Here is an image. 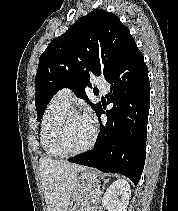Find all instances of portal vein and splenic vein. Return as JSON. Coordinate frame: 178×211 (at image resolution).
<instances>
[{
  "label": "portal vein and splenic vein",
  "mask_w": 178,
  "mask_h": 211,
  "mask_svg": "<svg viewBox=\"0 0 178 211\" xmlns=\"http://www.w3.org/2000/svg\"><path fill=\"white\" fill-rule=\"evenodd\" d=\"M100 193H101L100 191H97V192H96L97 195H100Z\"/></svg>",
  "instance_id": "1"
}]
</instances>
